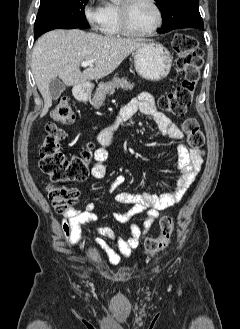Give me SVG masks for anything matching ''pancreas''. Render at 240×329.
Wrapping results in <instances>:
<instances>
[{
  "label": "pancreas",
  "instance_id": "cf45deb5",
  "mask_svg": "<svg viewBox=\"0 0 240 329\" xmlns=\"http://www.w3.org/2000/svg\"><path fill=\"white\" fill-rule=\"evenodd\" d=\"M133 87L134 84L128 82L127 78L114 77L112 81L101 83L96 89L94 96L89 99V102L95 109H99L104 105L106 96L114 93L115 89L122 88L124 90H132Z\"/></svg>",
  "mask_w": 240,
  "mask_h": 329
}]
</instances>
